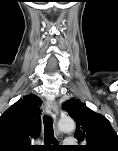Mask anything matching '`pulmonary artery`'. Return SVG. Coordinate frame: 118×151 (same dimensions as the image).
Returning a JSON list of instances; mask_svg holds the SVG:
<instances>
[{"instance_id":"1","label":"pulmonary artery","mask_w":118,"mask_h":151,"mask_svg":"<svg viewBox=\"0 0 118 151\" xmlns=\"http://www.w3.org/2000/svg\"><path fill=\"white\" fill-rule=\"evenodd\" d=\"M64 144H66V145L75 144V139H73V138H67V139L64 140Z\"/></svg>"}]
</instances>
